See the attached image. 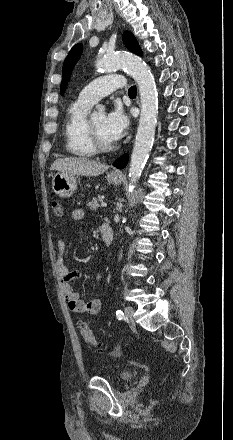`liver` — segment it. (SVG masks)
Returning <instances> with one entry per match:
<instances>
[{"label": "liver", "instance_id": "6515ba94", "mask_svg": "<svg viewBox=\"0 0 233 440\" xmlns=\"http://www.w3.org/2000/svg\"><path fill=\"white\" fill-rule=\"evenodd\" d=\"M109 168L108 165L92 161L86 158H60L56 159L51 165L50 170H56L62 173L97 176Z\"/></svg>", "mask_w": 233, "mask_h": 440}]
</instances>
